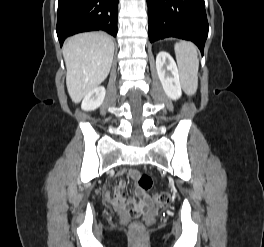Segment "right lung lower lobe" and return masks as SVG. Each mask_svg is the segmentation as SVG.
<instances>
[{"label": "right lung lower lobe", "instance_id": "98d812e1", "mask_svg": "<svg viewBox=\"0 0 264 247\" xmlns=\"http://www.w3.org/2000/svg\"><path fill=\"white\" fill-rule=\"evenodd\" d=\"M118 0H59L57 36L65 38L79 32L103 30L117 34Z\"/></svg>", "mask_w": 264, "mask_h": 247}]
</instances>
